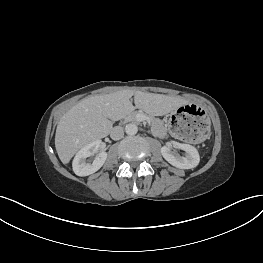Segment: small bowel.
Listing matches in <instances>:
<instances>
[{"label":"small bowel","instance_id":"c3829d8e","mask_svg":"<svg viewBox=\"0 0 263 263\" xmlns=\"http://www.w3.org/2000/svg\"><path fill=\"white\" fill-rule=\"evenodd\" d=\"M155 131H156L158 134H162V130H161V128H160L159 125H156V126H155Z\"/></svg>","mask_w":263,"mask_h":263}]
</instances>
